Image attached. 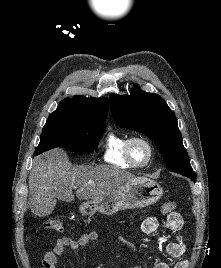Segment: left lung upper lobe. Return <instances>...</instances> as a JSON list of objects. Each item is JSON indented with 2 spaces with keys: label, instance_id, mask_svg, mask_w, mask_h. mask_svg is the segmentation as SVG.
<instances>
[{
  "label": "left lung upper lobe",
  "instance_id": "1",
  "mask_svg": "<svg viewBox=\"0 0 221 268\" xmlns=\"http://www.w3.org/2000/svg\"><path fill=\"white\" fill-rule=\"evenodd\" d=\"M109 100L115 123L146 134L159 149L169 171L182 175L193 172L175 114L162 97L135 85L130 95L112 94Z\"/></svg>",
  "mask_w": 221,
  "mask_h": 268
}]
</instances>
